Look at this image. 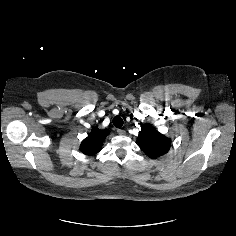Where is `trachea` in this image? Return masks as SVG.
Segmentation results:
<instances>
[{
	"label": "trachea",
	"instance_id": "obj_1",
	"mask_svg": "<svg viewBox=\"0 0 236 236\" xmlns=\"http://www.w3.org/2000/svg\"><path fill=\"white\" fill-rule=\"evenodd\" d=\"M113 125L116 127V128H121L123 126V119L119 116H115L113 118Z\"/></svg>",
	"mask_w": 236,
	"mask_h": 236
}]
</instances>
